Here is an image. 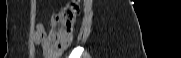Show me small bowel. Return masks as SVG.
Instances as JSON below:
<instances>
[{
    "mask_svg": "<svg viewBox=\"0 0 181 58\" xmlns=\"http://www.w3.org/2000/svg\"><path fill=\"white\" fill-rule=\"evenodd\" d=\"M46 40V30L42 23H38L35 30V41L37 43H44Z\"/></svg>",
    "mask_w": 181,
    "mask_h": 58,
    "instance_id": "c3829d8e",
    "label": "small bowel"
}]
</instances>
